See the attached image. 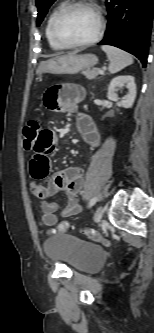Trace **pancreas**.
<instances>
[{
    "instance_id": "cf45deb5",
    "label": "pancreas",
    "mask_w": 154,
    "mask_h": 333,
    "mask_svg": "<svg viewBox=\"0 0 154 333\" xmlns=\"http://www.w3.org/2000/svg\"><path fill=\"white\" fill-rule=\"evenodd\" d=\"M99 69H87L85 71H83V75L86 76V78L88 79H93L94 77L98 76L100 73H99Z\"/></svg>"
}]
</instances>
